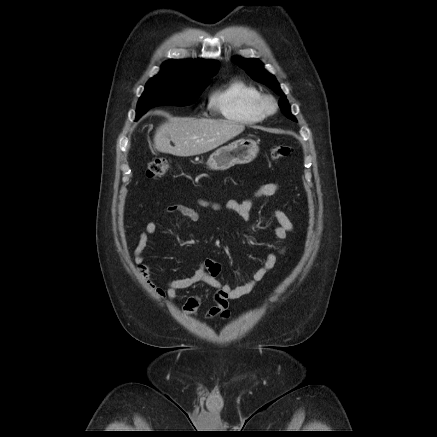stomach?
<instances>
[{"instance_id":"obj_1","label":"stomach","mask_w":437,"mask_h":437,"mask_svg":"<svg viewBox=\"0 0 437 437\" xmlns=\"http://www.w3.org/2000/svg\"><path fill=\"white\" fill-rule=\"evenodd\" d=\"M259 152L258 144L249 139H240L214 151L206 162L211 170H227L235 164L254 160Z\"/></svg>"}]
</instances>
